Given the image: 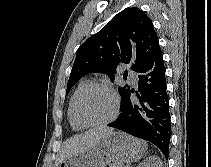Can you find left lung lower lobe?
<instances>
[{
	"instance_id": "0a47b994",
	"label": "left lung lower lobe",
	"mask_w": 211,
	"mask_h": 167,
	"mask_svg": "<svg viewBox=\"0 0 211 167\" xmlns=\"http://www.w3.org/2000/svg\"><path fill=\"white\" fill-rule=\"evenodd\" d=\"M138 90L128 89L121 99L122 114L108 126L155 144L169 154L171 123L163 54L158 47L137 71ZM135 93L137 100L133 99Z\"/></svg>"
}]
</instances>
